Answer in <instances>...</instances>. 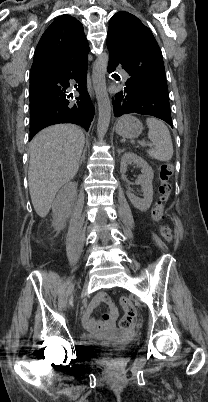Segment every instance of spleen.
<instances>
[{"instance_id":"spleen-1","label":"spleen","mask_w":208,"mask_h":402,"mask_svg":"<svg viewBox=\"0 0 208 402\" xmlns=\"http://www.w3.org/2000/svg\"><path fill=\"white\" fill-rule=\"evenodd\" d=\"M146 124L149 128L148 138L154 144L147 154L160 162H169L173 156V144L167 126L156 118H147Z\"/></svg>"}]
</instances>
